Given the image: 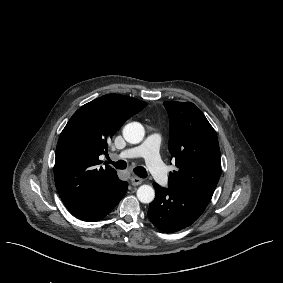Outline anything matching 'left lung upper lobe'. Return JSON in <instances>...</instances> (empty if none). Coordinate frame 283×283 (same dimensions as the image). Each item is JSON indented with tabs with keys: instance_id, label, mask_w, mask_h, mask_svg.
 Returning <instances> with one entry per match:
<instances>
[{
	"instance_id": "1",
	"label": "left lung upper lobe",
	"mask_w": 283,
	"mask_h": 283,
	"mask_svg": "<svg viewBox=\"0 0 283 283\" xmlns=\"http://www.w3.org/2000/svg\"><path fill=\"white\" fill-rule=\"evenodd\" d=\"M164 106L170 121L169 151L177 167L168 187L208 203L221 173L216 132L193 103L164 102Z\"/></svg>"
}]
</instances>
